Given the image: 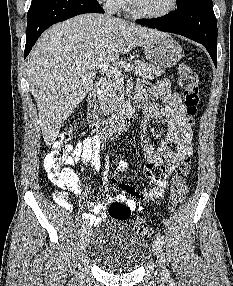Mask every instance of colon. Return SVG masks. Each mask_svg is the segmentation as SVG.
<instances>
[{"instance_id": "5ec220e1", "label": "colon", "mask_w": 233, "mask_h": 286, "mask_svg": "<svg viewBox=\"0 0 233 286\" xmlns=\"http://www.w3.org/2000/svg\"><path fill=\"white\" fill-rule=\"evenodd\" d=\"M178 79L184 91L188 125H194V118L197 115L200 104V93L198 77L196 72L187 64H181L178 68ZM71 132H65L61 138L54 143L44 157V169L50 180L61 190L79 188L76 174L69 167L64 166L70 158L72 146L70 144ZM190 157H185L181 162L170 189V208L175 210L186 198L188 192L187 177L190 172ZM108 214L117 220H128L131 216V209L121 201H112L108 205ZM135 231L150 236L151 229L141 217L131 219Z\"/></svg>"}]
</instances>
